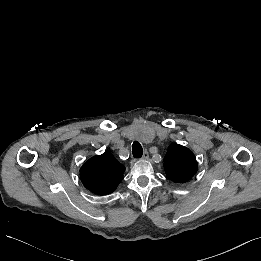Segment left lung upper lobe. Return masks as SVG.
<instances>
[{"instance_id":"left-lung-upper-lobe-1","label":"left lung upper lobe","mask_w":261,"mask_h":261,"mask_svg":"<svg viewBox=\"0 0 261 261\" xmlns=\"http://www.w3.org/2000/svg\"><path fill=\"white\" fill-rule=\"evenodd\" d=\"M166 176L175 183L189 181L197 172L198 164L193 152L179 144H171L164 157Z\"/></svg>"}]
</instances>
